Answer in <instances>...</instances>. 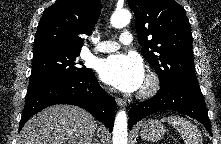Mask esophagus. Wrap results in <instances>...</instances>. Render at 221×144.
Listing matches in <instances>:
<instances>
[{
  "mask_svg": "<svg viewBox=\"0 0 221 144\" xmlns=\"http://www.w3.org/2000/svg\"><path fill=\"white\" fill-rule=\"evenodd\" d=\"M116 103L119 107H125L126 106V102L121 98H116Z\"/></svg>",
  "mask_w": 221,
  "mask_h": 144,
  "instance_id": "esophagus-1",
  "label": "esophagus"
}]
</instances>
